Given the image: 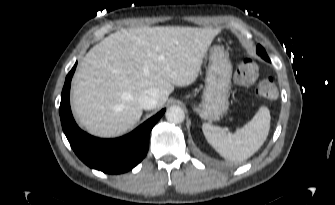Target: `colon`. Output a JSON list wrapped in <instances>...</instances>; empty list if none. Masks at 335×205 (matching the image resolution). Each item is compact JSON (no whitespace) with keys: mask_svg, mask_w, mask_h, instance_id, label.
Listing matches in <instances>:
<instances>
[{"mask_svg":"<svg viewBox=\"0 0 335 205\" xmlns=\"http://www.w3.org/2000/svg\"><path fill=\"white\" fill-rule=\"evenodd\" d=\"M258 77V66L251 59L244 60L237 68L235 81L243 86L256 83ZM254 92L260 98L271 99L277 94L276 85L272 78H263L255 84Z\"/></svg>","mask_w":335,"mask_h":205,"instance_id":"1","label":"colon"}]
</instances>
